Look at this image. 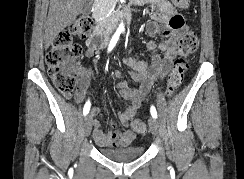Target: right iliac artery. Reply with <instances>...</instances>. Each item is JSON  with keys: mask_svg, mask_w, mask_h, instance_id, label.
I'll list each match as a JSON object with an SVG mask.
<instances>
[{"mask_svg": "<svg viewBox=\"0 0 244 179\" xmlns=\"http://www.w3.org/2000/svg\"><path fill=\"white\" fill-rule=\"evenodd\" d=\"M119 36H120V33L117 32L114 34V36L112 37L111 41H110V44H109V47H108V52H110L114 46L116 45L118 39H119ZM90 101H87L86 104L84 105V108H83V114L86 115L88 114L89 110H90Z\"/></svg>", "mask_w": 244, "mask_h": 179, "instance_id": "1", "label": "right iliac artery"}]
</instances>
